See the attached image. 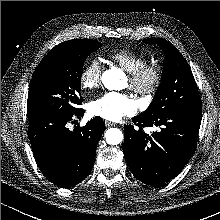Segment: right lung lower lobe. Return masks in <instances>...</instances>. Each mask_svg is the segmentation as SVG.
Returning <instances> with one entry per match:
<instances>
[{
  "mask_svg": "<svg viewBox=\"0 0 220 220\" xmlns=\"http://www.w3.org/2000/svg\"><path fill=\"white\" fill-rule=\"evenodd\" d=\"M83 109L72 113H27L28 137L38 167L53 184L69 188L84 180L93 167L96 147L105 130L100 117L73 131L67 124L81 118Z\"/></svg>",
  "mask_w": 220,
  "mask_h": 220,
  "instance_id": "1",
  "label": "right lung lower lobe"
}]
</instances>
